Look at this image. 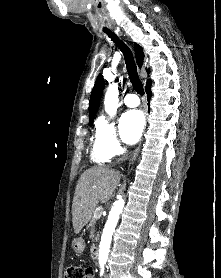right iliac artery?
<instances>
[{"label":"right iliac artery","mask_w":221,"mask_h":278,"mask_svg":"<svg viewBox=\"0 0 221 278\" xmlns=\"http://www.w3.org/2000/svg\"><path fill=\"white\" fill-rule=\"evenodd\" d=\"M103 273H104V265H103V264H101V271H100V275L102 276V275H103Z\"/></svg>","instance_id":"82829eb1"}]
</instances>
